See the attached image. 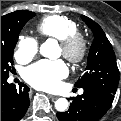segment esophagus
<instances>
[{
	"mask_svg": "<svg viewBox=\"0 0 121 121\" xmlns=\"http://www.w3.org/2000/svg\"><path fill=\"white\" fill-rule=\"evenodd\" d=\"M48 97H49L50 99H52V100L57 99V96H55V95H48Z\"/></svg>",
	"mask_w": 121,
	"mask_h": 121,
	"instance_id": "esophagus-1",
	"label": "esophagus"
}]
</instances>
